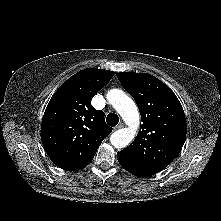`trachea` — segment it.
<instances>
[{"instance_id":"3493384b","label":"trachea","mask_w":221,"mask_h":221,"mask_svg":"<svg viewBox=\"0 0 221 221\" xmlns=\"http://www.w3.org/2000/svg\"><path fill=\"white\" fill-rule=\"evenodd\" d=\"M106 121L109 126L114 127L118 124L119 117L114 113H110L107 115Z\"/></svg>"}]
</instances>
